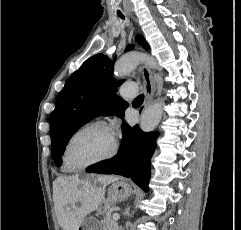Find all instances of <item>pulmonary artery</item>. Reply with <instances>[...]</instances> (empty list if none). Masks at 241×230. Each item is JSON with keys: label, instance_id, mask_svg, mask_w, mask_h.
<instances>
[{"label": "pulmonary artery", "instance_id": "e3ab8cb5", "mask_svg": "<svg viewBox=\"0 0 241 230\" xmlns=\"http://www.w3.org/2000/svg\"><path fill=\"white\" fill-rule=\"evenodd\" d=\"M137 85L133 82L124 83L119 90V94L122 98L130 100L136 96Z\"/></svg>", "mask_w": 241, "mask_h": 230}]
</instances>
